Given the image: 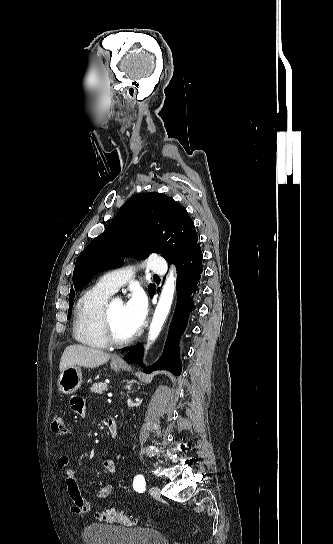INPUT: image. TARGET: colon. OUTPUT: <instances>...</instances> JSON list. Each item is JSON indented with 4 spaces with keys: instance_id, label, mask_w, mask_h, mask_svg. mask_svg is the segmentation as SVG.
Wrapping results in <instances>:
<instances>
[{
    "instance_id": "1",
    "label": "colon",
    "mask_w": 333,
    "mask_h": 544,
    "mask_svg": "<svg viewBox=\"0 0 333 544\" xmlns=\"http://www.w3.org/2000/svg\"><path fill=\"white\" fill-rule=\"evenodd\" d=\"M52 431L57 435H66L67 428L62 417H55L51 423ZM96 518L107 523H118L126 526H132L137 523V520L129 512L117 511L114 508H109L106 511L98 512Z\"/></svg>"
}]
</instances>
